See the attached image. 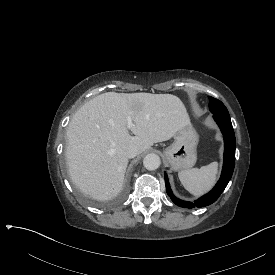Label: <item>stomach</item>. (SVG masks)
<instances>
[{
    "label": "stomach",
    "mask_w": 275,
    "mask_h": 275,
    "mask_svg": "<svg viewBox=\"0 0 275 275\" xmlns=\"http://www.w3.org/2000/svg\"><path fill=\"white\" fill-rule=\"evenodd\" d=\"M199 136L190 122L175 135L174 143L164 151L173 170L189 169L196 163Z\"/></svg>",
    "instance_id": "stomach-1"
}]
</instances>
